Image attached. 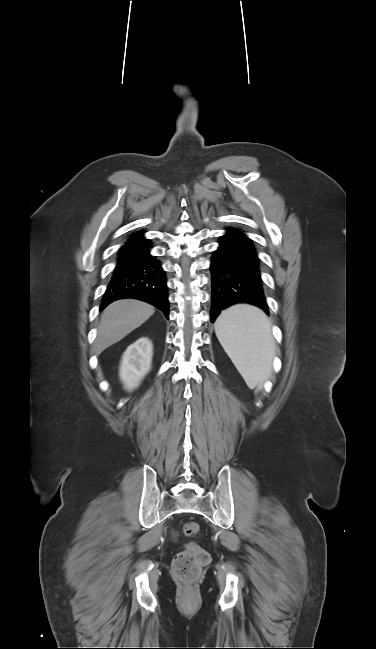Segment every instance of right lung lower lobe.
<instances>
[{"label": "right lung lower lobe", "mask_w": 376, "mask_h": 649, "mask_svg": "<svg viewBox=\"0 0 376 649\" xmlns=\"http://www.w3.org/2000/svg\"><path fill=\"white\" fill-rule=\"evenodd\" d=\"M139 232L119 250L117 265L100 309L122 298H135L154 305L169 315L165 271L150 254L151 241Z\"/></svg>", "instance_id": "obj_1"}]
</instances>
